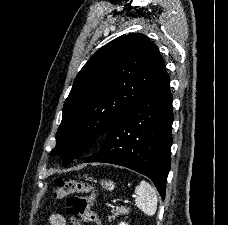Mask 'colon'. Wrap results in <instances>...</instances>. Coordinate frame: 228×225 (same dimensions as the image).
<instances>
[{"label": "colon", "mask_w": 228, "mask_h": 225, "mask_svg": "<svg viewBox=\"0 0 228 225\" xmlns=\"http://www.w3.org/2000/svg\"><path fill=\"white\" fill-rule=\"evenodd\" d=\"M54 198H67L69 214H76L88 223L101 225L97 213L93 210L95 190L88 182L57 178L54 181Z\"/></svg>", "instance_id": "colon-1"}]
</instances>
